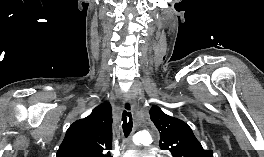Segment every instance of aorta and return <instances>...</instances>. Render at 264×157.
Segmentation results:
<instances>
[{
  "instance_id": "obj_1",
  "label": "aorta",
  "mask_w": 264,
  "mask_h": 157,
  "mask_svg": "<svg viewBox=\"0 0 264 157\" xmlns=\"http://www.w3.org/2000/svg\"><path fill=\"white\" fill-rule=\"evenodd\" d=\"M133 141L137 146H147L152 142V139L148 133L141 132L134 136Z\"/></svg>"
}]
</instances>
